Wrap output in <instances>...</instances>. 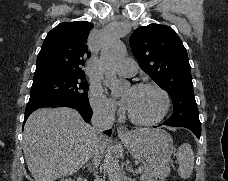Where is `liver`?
Instances as JSON below:
<instances>
[{
  "mask_svg": "<svg viewBox=\"0 0 228 181\" xmlns=\"http://www.w3.org/2000/svg\"><path fill=\"white\" fill-rule=\"evenodd\" d=\"M98 141L109 145L75 109H38L24 125L23 153L34 181H56L80 171Z\"/></svg>",
  "mask_w": 228,
  "mask_h": 181,
  "instance_id": "1",
  "label": "liver"
}]
</instances>
